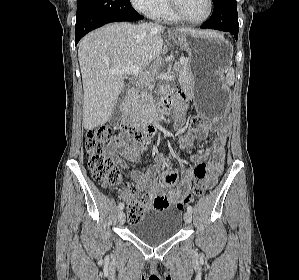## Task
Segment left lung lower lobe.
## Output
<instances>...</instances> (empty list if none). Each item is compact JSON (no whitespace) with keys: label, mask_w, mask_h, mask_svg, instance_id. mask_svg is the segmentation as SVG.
I'll return each instance as SVG.
<instances>
[{"label":"left lung lower lobe","mask_w":299,"mask_h":280,"mask_svg":"<svg viewBox=\"0 0 299 280\" xmlns=\"http://www.w3.org/2000/svg\"><path fill=\"white\" fill-rule=\"evenodd\" d=\"M213 3L212 16L201 25V28L230 32L237 40L239 23L236 0H213Z\"/></svg>","instance_id":"left-lung-lower-lobe-1"}]
</instances>
